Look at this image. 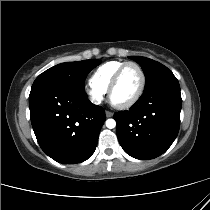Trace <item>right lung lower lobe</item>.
<instances>
[{
    "label": "right lung lower lobe",
    "mask_w": 210,
    "mask_h": 210,
    "mask_svg": "<svg viewBox=\"0 0 210 210\" xmlns=\"http://www.w3.org/2000/svg\"><path fill=\"white\" fill-rule=\"evenodd\" d=\"M29 108L37 141L49 157L74 164L94 153L106 117L83 91L63 85L31 88Z\"/></svg>",
    "instance_id": "98d812e1"
}]
</instances>
